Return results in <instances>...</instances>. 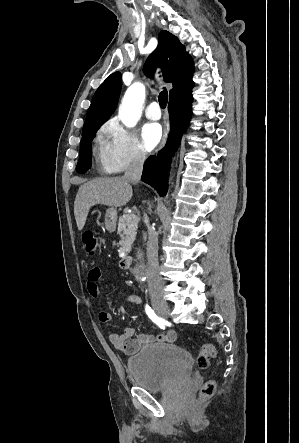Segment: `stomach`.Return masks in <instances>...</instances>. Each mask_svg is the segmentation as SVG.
I'll use <instances>...</instances> for the list:
<instances>
[{
	"label": "stomach",
	"mask_w": 299,
	"mask_h": 443,
	"mask_svg": "<svg viewBox=\"0 0 299 443\" xmlns=\"http://www.w3.org/2000/svg\"><path fill=\"white\" fill-rule=\"evenodd\" d=\"M116 223H117V211L115 208L111 207L107 209L105 213V219H104L105 228L109 232H114L116 229Z\"/></svg>",
	"instance_id": "stomach-1"
}]
</instances>
